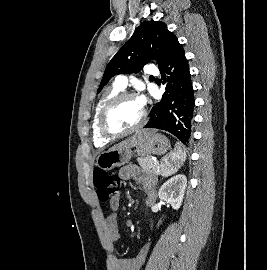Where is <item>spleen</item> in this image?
I'll use <instances>...</instances> for the list:
<instances>
[{
  "label": "spleen",
  "instance_id": "obj_1",
  "mask_svg": "<svg viewBox=\"0 0 267 270\" xmlns=\"http://www.w3.org/2000/svg\"><path fill=\"white\" fill-rule=\"evenodd\" d=\"M186 160V154L182 146L177 143L174 151L170 152L162 159L161 174L163 176H170L178 171Z\"/></svg>",
  "mask_w": 267,
  "mask_h": 270
}]
</instances>
